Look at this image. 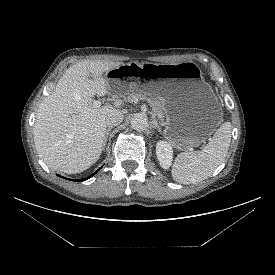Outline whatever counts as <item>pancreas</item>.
Instances as JSON below:
<instances>
[{
	"instance_id": "1",
	"label": "pancreas",
	"mask_w": 275,
	"mask_h": 275,
	"mask_svg": "<svg viewBox=\"0 0 275 275\" xmlns=\"http://www.w3.org/2000/svg\"><path fill=\"white\" fill-rule=\"evenodd\" d=\"M138 100H145L149 103V105L152 107V110L154 113L158 116V118L162 121L165 117L164 112V101L163 99H156L153 97L148 98L145 94L132 92L129 94L126 98V101L128 102H136Z\"/></svg>"
}]
</instances>
